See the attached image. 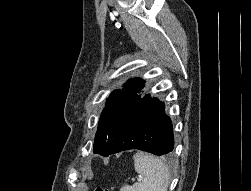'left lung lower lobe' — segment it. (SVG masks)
I'll list each match as a JSON object with an SVG mask.
<instances>
[{"label":"left lung lower lobe","instance_id":"0a47b994","mask_svg":"<svg viewBox=\"0 0 251 191\" xmlns=\"http://www.w3.org/2000/svg\"><path fill=\"white\" fill-rule=\"evenodd\" d=\"M173 148L172 122L165 113L164 103L145 95L133 109L108 155L139 149L161 156L170 154Z\"/></svg>","mask_w":251,"mask_h":191}]
</instances>
